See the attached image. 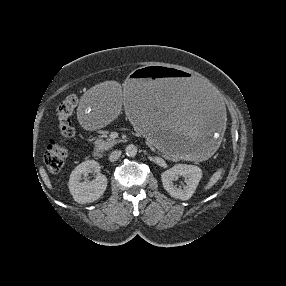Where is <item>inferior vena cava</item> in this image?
Returning <instances> with one entry per match:
<instances>
[{
  "label": "inferior vena cava",
  "instance_id": "1",
  "mask_svg": "<svg viewBox=\"0 0 286 286\" xmlns=\"http://www.w3.org/2000/svg\"><path fill=\"white\" fill-rule=\"evenodd\" d=\"M121 153L122 152L120 150H116V151L111 152V154L109 156V161L114 162V161L118 160L119 157L121 156Z\"/></svg>",
  "mask_w": 286,
  "mask_h": 286
}]
</instances>
